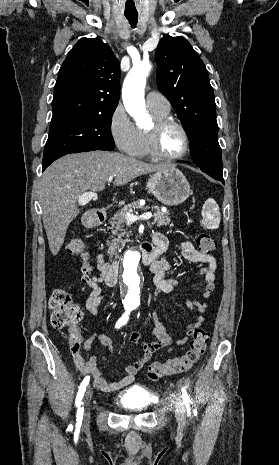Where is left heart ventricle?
<instances>
[{"label":"left heart ventricle","mask_w":279,"mask_h":465,"mask_svg":"<svg viewBox=\"0 0 279 465\" xmlns=\"http://www.w3.org/2000/svg\"><path fill=\"white\" fill-rule=\"evenodd\" d=\"M182 147V134L176 126H168L161 132L159 138V148L164 154H177L182 150Z\"/></svg>","instance_id":"left-heart-ventricle-1"}]
</instances>
